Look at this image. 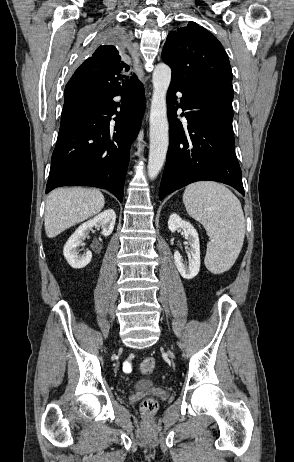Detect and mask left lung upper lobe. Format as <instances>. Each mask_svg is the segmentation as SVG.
Returning <instances> with one entry per match:
<instances>
[{"label":"left lung upper lobe","mask_w":294,"mask_h":462,"mask_svg":"<svg viewBox=\"0 0 294 462\" xmlns=\"http://www.w3.org/2000/svg\"><path fill=\"white\" fill-rule=\"evenodd\" d=\"M162 60L172 69L171 81L184 87L226 84L232 88L225 50L213 34L195 22L168 34Z\"/></svg>","instance_id":"left-lung-upper-lobe-1"}]
</instances>
